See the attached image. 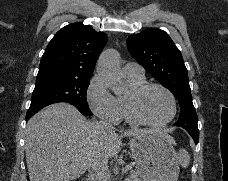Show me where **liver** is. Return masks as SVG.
<instances>
[{
  "instance_id": "1",
  "label": "liver",
  "mask_w": 228,
  "mask_h": 181,
  "mask_svg": "<svg viewBox=\"0 0 228 181\" xmlns=\"http://www.w3.org/2000/svg\"><path fill=\"white\" fill-rule=\"evenodd\" d=\"M68 103H55L28 121L25 129V157L30 181H75L86 173L92 153L117 157L122 141L113 129L105 133ZM143 133H164L163 129H130L124 137ZM173 141V139H172ZM175 145V141H173Z\"/></svg>"
}]
</instances>
